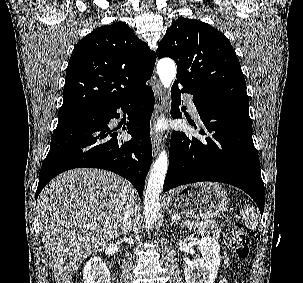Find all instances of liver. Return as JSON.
<instances>
[{
  "label": "liver",
  "mask_w": 303,
  "mask_h": 283,
  "mask_svg": "<svg viewBox=\"0 0 303 283\" xmlns=\"http://www.w3.org/2000/svg\"><path fill=\"white\" fill-rule=\"evenodd\" d=\"M124 186L111 172L79 168L64 172L42 190L37 205L40 230L56 283H71L83 260L116 239L125 208Z\"/></svg>",
  "instance_id": "liver-1"
}]
</instances>
